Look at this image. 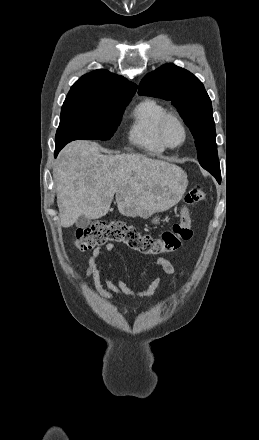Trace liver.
<instances>
[{"instance_id":"1","label":"liver","mask_w":259,"mask_h":440,"mask_svg":"<svg viewBox=\"0 0 259 440\" xmlns=\"http://www.w3.org/2000/svg\"><path fill=\"white\" fill-rule=\"evenodd\" d=\"M61 225L71 227L84 215L105 216L116 194L119 212L148 218L181 199L183 171L141 154L104 155L98 143L79 140L61 151L53 170Z\"/></svg>"}]
</instances>
